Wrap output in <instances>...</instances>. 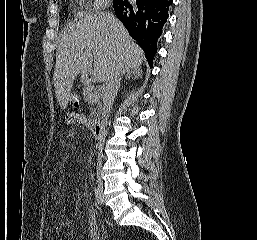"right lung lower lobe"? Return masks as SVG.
<instances>
[{"mask_svg": "<svg viewBox=\"0 0 257 240\" xmlns=\"http://www.w3.org/2000/svg\"><path fill=\"white\" fill-rule=\"evenodd\" d=\"M173 0H114L116 16L127 28L129 34L144 50L152 66L157 52V40L167 21L169 6Z\"/></svg>", "mask_w": 257, "mask_h": 240, "instance_id": "obj_1", "label": "right lung lower lobe"}]
</instances>
